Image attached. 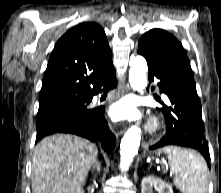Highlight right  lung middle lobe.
I'll return each instance as SVG.
<instances>
[{
  "label": "right lung middle lobe",
  "instance_id": "1",
  "mask_svg": "<svg viewBox=\"0 0 221 193\" xmlns=\"http://www.w3.org/2000/svg\"><path fill=\"white\" fill-rule=\"evenodd\" d=\"M89 102V98H61L40 102L36 120L37 132L88 119L93 112L87 108Z\"/></svg>",
  "mask_w": 221,
  "mask_h": 193
}]
</instances>
